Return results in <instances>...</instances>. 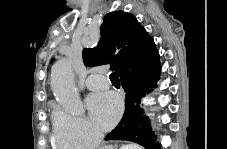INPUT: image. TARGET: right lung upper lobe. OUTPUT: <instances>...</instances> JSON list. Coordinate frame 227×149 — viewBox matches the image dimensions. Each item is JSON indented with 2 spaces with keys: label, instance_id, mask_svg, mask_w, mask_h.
<instances>
[{
  "label": "right lung upper lobe",
  "instance_id": "obj_1",
  "mask_svg": "<svg viewBox=\"0 0 227 149\" xmlns=\"http://www.w3.org/2000/svg\"><path fill=\"white\" fill-rule=\"evenodd\" d=\"M100 34L97 46L82 52L86 66L111 64L110 69L117 71L121 77L159 57L152 37L129 13H108L100 27Z\"/></svg>",
  "mask_w": 227,
  "mask_h": 149
}]
</instances>
